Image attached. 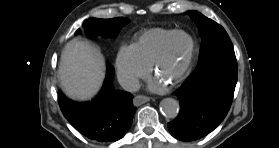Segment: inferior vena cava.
I'll use <instances>...</instances> for the list:
<instances>
[{
	"instance_id": "inferior-vena-cava-1",
	"label": "inferior vena cava",
	"mask_w": 279,
	"mask_h": 148,
	"mask_svg": "<svg viewBox=\"0 0 279 148\" xmlns=\"http://www.w3.org/2000/svg\"><path fill=\"white\" fill-rule=\"evenodd\" d=\"M118 82L128 92H136L140 88L139 80L130 75H119Z\"/></svg>"
}]
</instances>
